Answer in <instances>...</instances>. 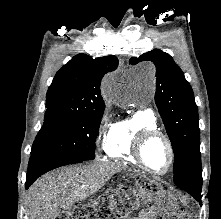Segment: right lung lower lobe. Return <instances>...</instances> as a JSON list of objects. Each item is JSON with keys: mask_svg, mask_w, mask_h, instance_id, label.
I'll return each mask as SVG.
<instances>
[{"mask_svg": "<svg viewBox=\"0 0 221 219\" xmlns=\"http://www.w3.org/2000/svg\"><path fill=\"white\" fill-rule=\"evenodd\" d=\"M83 162V160L66 157L48 150L31 153L26 178V189L42 174L60 166Z\"/></svg>", "mask_w": 221, "mask_h": 219, "instance_id": "obj_1", "label": "right lung lower lobe"}]
</instances>
